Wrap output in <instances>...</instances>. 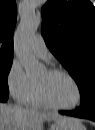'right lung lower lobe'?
<instances>
[{"label": "right lung lower lobe", "mask_w": 95, "mask_h": 130, "mask_svg": "<svg viewBox=\"0 0 95 130\" xmlns=\"http://www.w3.org/2000/svg\"><path fill=\"white\" fill-rule=\"evenodd\" d=\"M8 96H9V94H1L0 93V101L1 102H6L7 101V99H8Z\"/></svg>", "instance_id": "right-lung-lower-lobe-1"}]
</instances>
